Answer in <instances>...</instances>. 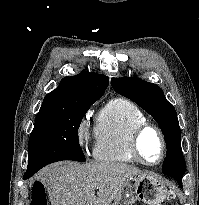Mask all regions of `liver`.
Listing matches in <instances>:
<instances>
[{
  "label": "liver",
  "mask_w": 199,
  "mask_h": 205,
  "mask_svg": "<svg viewBox=\"0 0 199 205\" xmlns=\"http://www.w3.org/2000/svg\"><path fill=\"white\" fill-rule=\"evenodd\" d=\"M131 165L119 162H59L41 171L52 205H110L126 180L142 175ZM97 189V195H95Z\"/></svg>",
  "instance_id": "1"
}]
</instances>
